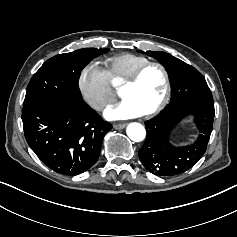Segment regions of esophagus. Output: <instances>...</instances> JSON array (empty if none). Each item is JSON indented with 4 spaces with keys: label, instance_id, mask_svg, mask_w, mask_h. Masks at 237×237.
<instances>
[{
    "label": "esophagus",
    "instance_id": "34e87169",
    "mask_svg": "<svg viewBox=\"0 0 237 237\" xmlns=\"http://www.w3.org/2000/svg\"><path fill=\"white\" fill-rule=\"evenodd\" d=\"M126 123H116V124H113V128L114 129H123L126 127Z\"/></svg>",
    "mask_w": 237,
    "mask_h": 237
}]
</instances>
